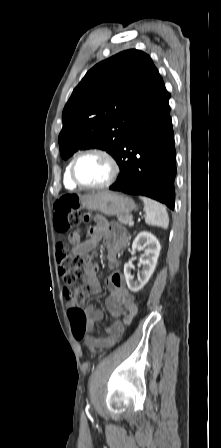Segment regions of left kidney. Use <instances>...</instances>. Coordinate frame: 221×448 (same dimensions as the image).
Returning <instances> with one entry per match:
<instances>
[{
  "label": "left kidney",
  "instance_id": "left-kidney-1",
  "mask_svg": "<svg viewBox=\"0 0 221 448\" xmlns=\"http://www.w3.org/2000/svg\"><path fill=\"white\" fill-rule=\"evenodd\" d=\"M145 248V258L141 259V264L144 266L138 280L134 281L131 275V262L124 265V275L126 283L130 291L138 292L148 282L153 274L159 253L161 250L158 239L147 231L140 232L133 241L131 254L135 253L137 248Z\"/></svg>",
  "mask_w": 221,
  "mask_h": 448
}]
</instances>
